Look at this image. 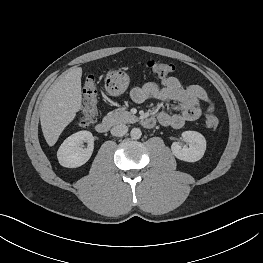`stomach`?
Here are the masks:
<instances>
[{
    "label": "stomach",
    "mask_w": 263,
    "mask_h": 263,
    "mask_svg": "<svg viewBox=\"0 0 263 263\" xmlns=\"http://www.w3.org/2000/svg\"><path fill=\"white\" fill-rule=\"evenodd\" d=\"M129 76L122 70L110 73L106 78V89L112 96L123 94L129 86Z\"/></svg>",
    "instance_id": "1"
}]
</instances>
